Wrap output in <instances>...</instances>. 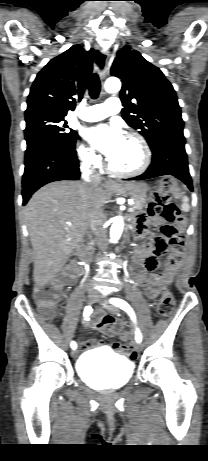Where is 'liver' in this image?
Masks as SVG:
<instances>
[{"mask_svg": "<svg viewBox=\"0 0 208 461\" xmlns=\"http://www.w3.org/2000/svg\"><path fill=\"white\" fill-rule=\"evenodd\" d=\"M108 190L85 182L60 181L40 188L25 215L34 251L33 277L43 286L57 274L85 234L95 210H102Z\"/></svg>", "mask_w": 208, "mask_h": 461, "instance_id": "obj_1", "label": "liver"}]
</instances>
